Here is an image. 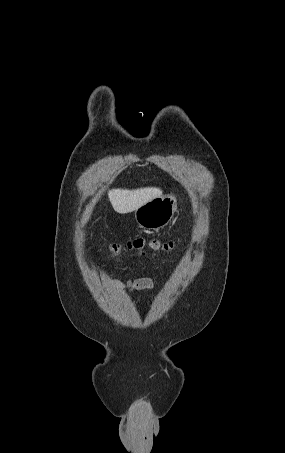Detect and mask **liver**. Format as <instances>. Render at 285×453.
Masks as SVG:
<instances>
[{
  "instance_id": "liver-1",
  "label": "liver",
  "mask_w": 285,
  "mask_h": 453,
  "mask_svg": "<svg viewBox=\"0 0 285 453\" xmlns=\"http://www.w3.org/2000/svg\"><path fill=\"white\" fill-rule=\"evenodd\" d=\"M159 196H162V190L156 187L135 190L112 189L108 192L112 207L119 214L133 212L140 206Z\"/></svg>"
}]
</instances>
